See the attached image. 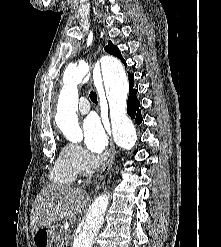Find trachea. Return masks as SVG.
Wrapping results in <instances>:
<instances>
[{"instance_id":"3493384b","label":"trachea","mask_w":221,"mask_h":247,"mask_svg":"<svg viewBox=\"0 0 221 247\" xmlns=\"http://www.w3.org/2000/svg\"><path fill=\"white\" fill-rule=\"evenodd\" d=\"M89 97H90L92 102L97 103V94H96V92L91 91L90 94H89Z\"/></svg>"}]
</instances>
